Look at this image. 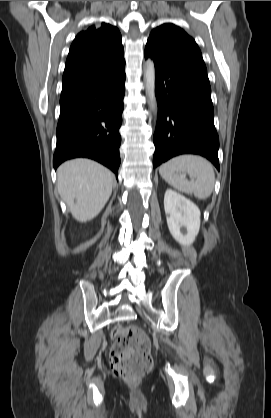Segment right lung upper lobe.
Masks as SVG:
<instances>
[{
    "instance_id": "cb5924a9",
    "label": "right lung upper lobe",
    "mask_w": 271,
    "mask_h": 418,
    "mask_svg": "<svg viewBox=\"0 0 271 418\" xmlns=\"http://www.w3.org/2000/svg\"><path fill=\"white\" fill-rule=\"evenodd\" d=\"M125 65L121 34L102 23L81 31L66 60L60 101L81 93Z\"/></svg>"
}]
</instances>
